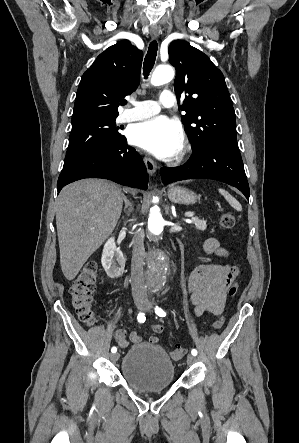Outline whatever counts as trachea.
I'll return each instance as SVG.
<instances>
[{
	"mask_svg": "<svg viewBox=\"0 0 299 443\" xmlns=\"http://www.w3.org/2000/svg\"><path fill=\"white\" fill-rule=\"evenodd\" d=\"M157 50H158L157 42L152 41L149 44L148 52H147L146 57L144 59L143 75H144L145 79L148 78L149 73L151 72V70L154 66L156 56H157Z\"/></svg>",
	"mask_w": 299,
	"mask_h": 443,
	"instance_id": "obj_1",
	"label": "trachea"
}]
</instances>
